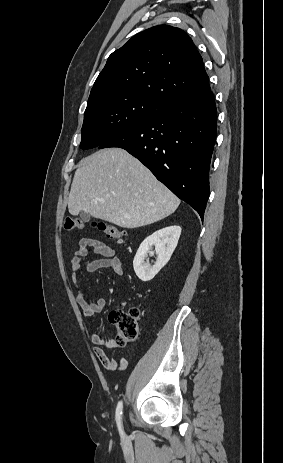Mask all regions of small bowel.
<instances>
[{
    "label": "small bowel",
    "mask_w": 283,
    "mask_h": 463,
    "mask_svg": "<svg viewBox=\"0 0 283 463\" xmlns=\"http://www.w3.org/2000/svg\"><path fill=\"white\" fill-rule=\"evenodd\" d=\"M89 249L94 253L101 255V258L89 259ZM84 265L86 271L94 272L101 269H111L115 274L122 275L123 267L120 259L115 255L114 249L105 242L94 238H82L79 241L78 248L75 250L71 259V278L77 285L78 292L76 301L82 308L85 317L91 318L106 307L105 299H98L95 303H89L86 300L85 294L79 285L78 273ZM93 343V353L100 364L108 371H122L127 366V361L124 357L112 358L108 356L105 348L112 349L116 347L113 340L106 341L97 333L91 334Z\"/></svg>",
    "instance_id": "obj_1"
}]
</instances>
